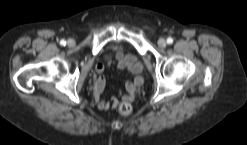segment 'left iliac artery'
<instances>
[{
    "label": "left iliac artery",
    "instance_id": "44dca946",
    "mask_svg": "<svg viewBox=\"0 0 247 145\" xmlns=\"http://www.w3.org/2000/svg\"><path fill=\"white\" fill-rule=\"evenodd\" d=\"M167 43H168V44H172V43H173V39H172L171 37H169V38L167 39Z\"/></svg>",
    "mask_w": 247,
    "mask_h": 145
}]
</instances>
